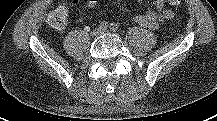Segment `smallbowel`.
Instances as JSON below:
<instances>
[{"label":"small bowel","instance_id":"c3829d8e","mask_svg":"<svg viewBox=\"0 0 217 121\" xmlns=\"http://www.w3.org/2000/svg\"><path fill=\"white\" fill-rule=\"evenodd\" d=\"M142 2L144 0H136ZM97 0H88L87 6L93 8ZM155 11H149L135 17V21L143 27L157 29L159 25L173 17V11L165 6V0H155Z\"/></svg>","mask_w":217,"mask_h":121}]
</instances>
